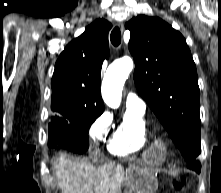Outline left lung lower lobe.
Segmentation results:
<instances>
[{
  "label": "left lung lower lobe",
  "mask_w": 221,
  "mask_h": 193,
  "mask_svg": "<svg viewBox=\"0 0 221 193\" xmlns=\"http://www.w3.org/2000/svg\"><path fill=\"white\" fill-rule=\"evenodd\" d=\"M187 166H188V168L196 171L197 173H199L201 171V164H200L198 158H196L192 161H188Z\"/></svg>",
  "instance_id": "0a47b994"
}]
</instances>
